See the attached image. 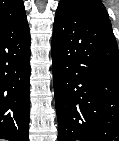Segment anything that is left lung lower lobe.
<instances>
[{
    "instance_id": "0a47b994",
    "label": "left lung lower lobe",
    "mask_w": 119,
    "mask_h": 141,
    "mask_svg": "<svg viewBox=\"0 0 119 141\" xmlns=\"http://www.w3.org/2000/svg\"><path fill=\"white\" fill-rule=\"evenodd\" d=\"M52 60L58 141H119V54L109 18L57 10Z\"/></svg>"
}]
</instances>
